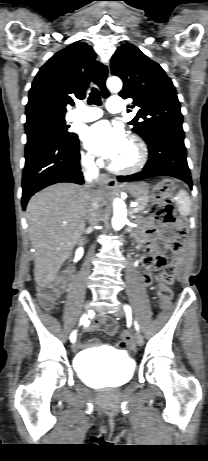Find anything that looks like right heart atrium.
<instances>
[{
  "label": "right heart atrium",
  "mask_w": 208,
  "mask_h": 461,
  "mask_svg": "<svg viewBox=\"0 0 208 461\" xmlns=\"http://www.w3.org/2000/svg\"><path fill=\"white\" fill-rule=\"evenodd\" d=\"M81 160H82V163L85 166H93L94 165V157L88 152L82 153Z\"/></svg>",
  "instance_id": "d8ad5b80"
}]
</instances>
